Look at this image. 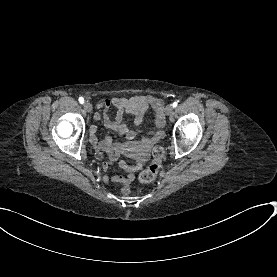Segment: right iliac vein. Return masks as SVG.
Here are the masks:
<instances>
[{
  "instance_id": "1",
  "label": "right iliac vein",
  "mask_w": 277,
  "mask_h": 277,
  "mask_svg": "<svg viewBox=\"0 0 277 277\" xmlns=\"http://www.w3.org/2000/svg\"><path fill=\"white\" fill-rule=\"evenodd\" d=\"M83 107H84V110L86 111V112H91L92 111V104L90 103V102H85L84 103V105H83Z\"/></svg>"
}]
</instances>
